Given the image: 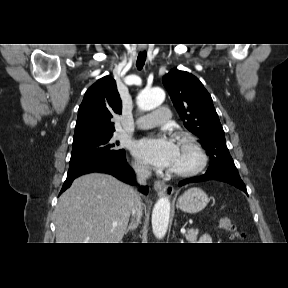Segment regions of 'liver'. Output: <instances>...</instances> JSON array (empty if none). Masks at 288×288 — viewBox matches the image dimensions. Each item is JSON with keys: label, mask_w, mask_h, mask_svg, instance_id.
Masks as SVG:
<instances>
[{"label": "liver", "mask_w": 288, "mask_h": 288, "mask_svg": "<svg viewBox=\"0 0 288 288\" xmlns=\"http://www.w3.org/2000/svg\"><path fill=\"white\" fill-rule=\"evenodd\" d=\"M137 195L111 175L78 177L59 197L55 209L57 243H119Z\"/></svg>", "instance_id": "liver-1"}]
</instances>
